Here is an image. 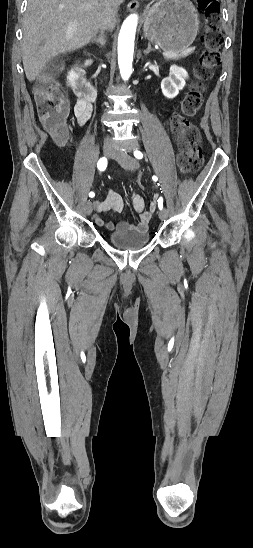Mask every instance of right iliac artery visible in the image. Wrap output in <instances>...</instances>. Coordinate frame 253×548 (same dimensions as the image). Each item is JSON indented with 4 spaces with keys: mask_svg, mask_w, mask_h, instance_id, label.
I'll return each mask as SVG.
<instances>
[{
    "mask_svg": "<svg viewBox=\"0 0 253 548\" xmlns=\"http://www.w3.org/2000/svg\"><path fill=\"white\" fill-rule=\"evenodd\" d=\"M97 167L100 171H104L107 167V159L105 157L103 158H100V160L98 161L97 163ZM89 196L91 198H93L95 196V193L94 192H90L89 193Z\"/></svg>",
    "mask_w": 253,
    "mask_h": 548,
    "instance_id": "right-iliac-artery-1",
    "label": "right iliac artery"
}]
</instances>
